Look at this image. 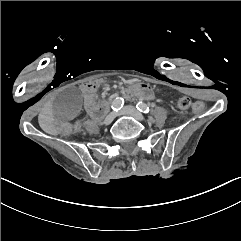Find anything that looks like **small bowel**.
<instances>
[{"label": "small bowel", "mask_w": 241, "mask_h": 241, "mask_svg": "<svg viewBox=\"0 0 241 241\" xmlns=\"http://www.w3.org/2000/svg\"><path fill=\"white\" fill-rule=\"evenodd\" d=\"M99 87L98 82H89L85 83L81 86V91L83 93L85 107L87 112L92 116L94 109L97 107L96 102V91ZM128 91L130 93L141 92L145 97L148 99H153L155 97V91L147 84L144 83H137V84H130L128 86Z\"/></svg>", "instance_id": "1"}]
</instances>
